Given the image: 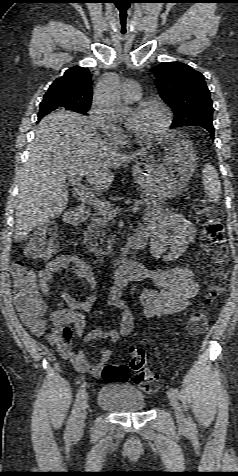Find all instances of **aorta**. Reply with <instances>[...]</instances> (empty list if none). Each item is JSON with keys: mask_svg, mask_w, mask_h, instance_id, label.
<instances>
[{"mask_svg": "<svg viewBox=\"0 0 238 476\" xmlns=\"http://www.w3.org/2000/svg\"><path fill=\"white\" fill-rule=\"evenodd\" d=\"M96 103L110 119H120L129 114L128 106L121 102L118 77L107 75L96 90Z\"/></svg>", "mask_w": 238, "mask_h": 476, "instance_id": "aorta-1", "label": "aorta"}]
</instances>
